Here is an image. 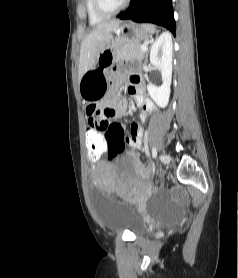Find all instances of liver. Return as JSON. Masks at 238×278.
<instances>
[{
  "label": "liver",
  "mask_w": 238,
  "mask_h": 278,
  "mask_svg": "<svg viewBox=\"0 0 238 278\" xmlns=\"http://www.w3.org/2000/svg\"><path fill=\"white\" fill-rule=\"evenodd\" d=\"M120 24L121 21L116 19L101 23L84 38L80 49L79 81L87 71L96 65L100 53L110 44L112 33H116Z\"/></svg>",
  "instance_id": "6515ba94"
}]
</instances>
